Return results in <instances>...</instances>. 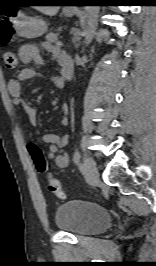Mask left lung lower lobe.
Here are the masks:
<instances>
[{
	"label": "left lung lower lobe",
	"mask_w": 156,
	"mask_h": 266,
	"mask_svg": "<svg viewBox=\"0 0 156 266\" xmlns=\"http://www.w3.org/2000/svg\"><path fill=\"white\" fill-rule=\"evenodd\" d=\"M88 3H95V4H99V5H104L105 3H108L107 0H84L81 2V6H85Z\"/></svg>",
	"instance_id": "0a47b994"
}]
</instances>
